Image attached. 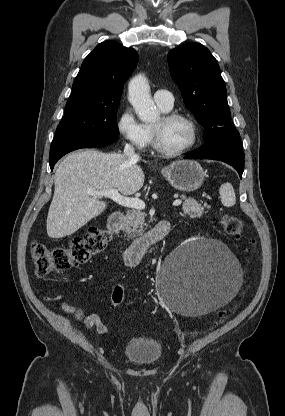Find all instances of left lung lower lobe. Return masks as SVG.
I'll use <instances>...</instances> for the list:
<instances>
[{
    "instance_id": "obj_1",
    "label": "left lung lower lobe",
    "mask_w": 285,
    "mask_h": 416,
    "mask_svg": "<svg viewBox=\"0 0 285 416\" xmlns=\"http://www.w3.org/2000/svg\"><path fill=\"white\" fill-rule=\"evenodd\" d=\"M186 159H212L230 164L242 178L244 157L239 136H227L212 140L204 146L188 153Z\"/></svg>"
}]
</instances>
